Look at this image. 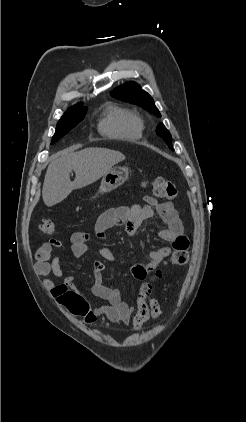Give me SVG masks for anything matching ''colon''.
<instances>
[{
  "instance_id": "1",
  "label": "colon",
  "mask_w": 246,
  "mask_h": 422,
  "mask_svg": "<svg viewBox=\"0 0 246 422\" xmlns=\"http://www.w3.org/2000/svg\"><path fill=\"white\" fill-rule=\"evenodd\" d=\"M151 186L154 193L161 198L173 199L178 193L175 183L163 177L153 179ZM40 231L44 234L54 233V222L44 219L40 224ZM187 260L188 253L184 250H175L170 256V262L174 265H183ZM156 275H158V272ZM145 278L142 280H145ZM151 292V281H144L137 295V311L133 317V326L135 329H141L149 319H157L162 313L159 302L151 296Z\"/></svg>"
}]
</instances>
